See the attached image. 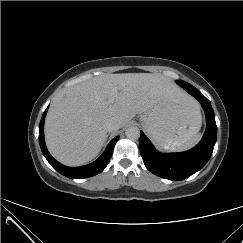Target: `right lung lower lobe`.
Here are the masks:
<instances>
[{
    "instance_id": "1",
    "label": "right lung lower lobe",
    "mask_w": 243,
    "mask_h": 243,
    "mask_svg": "<svg viewBox=\"0 0 243 243\" xmlns=\"http://www.w3.org/2000/svg\"><path fill=\"white\" fill-rule=\"evenodd\" d=\"M48 109V108H47ZM42 115L40 125H39V143L40 147L42 150L43 155L47 159V161L50 163V165L56 169L59 173L62 175L72 178V179H81V178H87L94 176L96 174H99L102 172L107 164L109 163V160L111 158L113 148L119 139V137H115L107 146L105 149L104 153L98 158L95 162L85 165V166H80V167H67L62 164H60L58 161H56L48 152L46 145H45V140H44V132H43V126H44V120L46 116V112Z\"/></svg>"
}]
</instances>
